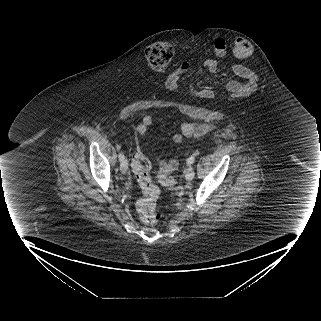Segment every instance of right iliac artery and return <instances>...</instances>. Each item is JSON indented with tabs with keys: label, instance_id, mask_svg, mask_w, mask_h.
<instances>
[{
	"label": "right iliac artery",
	"instance_id": "right-iliac-artery-1",
	"mask_svg": "<svg viewBox=\"0 0 321 321\" xmlns=\"http://www.w3.org/2000/svg\"><path fill=\"white\" fill-rule=\"evenodd\" d=\"M118 158H119L120 161H122V160L124 159V155H123L122 153H120V154L118 155Z\"/></svg>",
	"mask_w": 321,
	"mask_h": 321
}]
</instances>
